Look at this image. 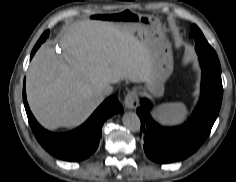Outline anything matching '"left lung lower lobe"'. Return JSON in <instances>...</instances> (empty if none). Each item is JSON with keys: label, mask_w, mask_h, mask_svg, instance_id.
Returning <instances> with one entry per match:
<instances>
[{"label": "left lung lower lobe", "mask_w": 236, "mask_h": 182, "mask_svg": "<svg viewBox=\"0 0 236 182\" xmlns=\"http://www.w3.org/2000/svg\"><path fill=\"white\" fill-rule=\"evenodd\" d=\"M203 69V68H202ZM223 96L221 74L203 69L201 98L189 120L180 127L163 128L150 116V102L141 99L137 114L144 132V151L157 163L182 160L205 141L218 116Z\"/></svg>", "instance_id": "obj_1"}]
</instances>
